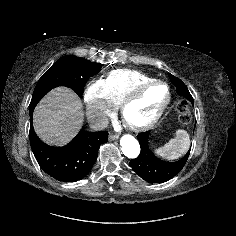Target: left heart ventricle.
I'll return each mask as SVG.
<instances>
[{
    "instance_id": "obj_1",
    "label": "left heart ventricle",
    "mask_w": 236,
    "mask_h": 236,
    "mask_svg": "<svg viewBox=\"0 0 236 236\" xmlns=\"http://www.w3.org/2000/svg\"><path fill=\"white\" fill-rule=\"evenodd\" d=\"M167 98L164 85H154L126 110V118L132 123H144L150 120Z\"/></svg>"
}]
</instances>
